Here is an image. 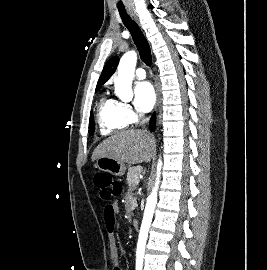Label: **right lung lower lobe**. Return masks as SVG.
Segmentation results:
<instances>
[{"label":"right lung lower lobe","mask_w":267,"mask_h":270,"mask_svg":"<svg viewBox=\"0 0 267 270\" xmlns=\"http://www.w3.org/2000/svg\"><path fill=\"white\" fill-rule=\"evenodd\" d=\"M154 128H155V115H153L150 120V129L154 131Z\"/></svg>","instance_id":"1"}]
</instances>
